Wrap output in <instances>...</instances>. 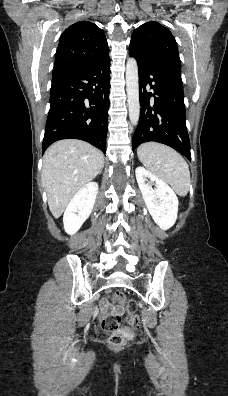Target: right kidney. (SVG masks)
<instances>
[{
  "label": "right kidney",
  "mask_w": 228,
  "mask_h": 396,
  "mask_svg": "<svg viewBox=\"0 0 228 396\" xmlns=\"http://www.w3.org/2000/svg\"><path fill=\"white\" fill-rule=\"evenodd\" d=\"M97 193L98 184L90 182L83 186L71 199L63 216L64 229L67 234H75L90 216Z\"/></svg>",
  "instance_id": "obj_1"
}]
</instances>
